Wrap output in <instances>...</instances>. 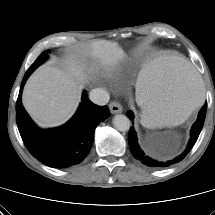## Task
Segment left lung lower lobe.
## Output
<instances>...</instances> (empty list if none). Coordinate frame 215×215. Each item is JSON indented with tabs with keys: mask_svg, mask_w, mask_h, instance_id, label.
I'll return each instance as SVG.
<instances>
[{
	"mask_svg": "<svg viewBox=\"0 0 215 215\" xmlns=\"http://www.w3.org/2000/svg\"><path fill=\"white\" fill-rule=\"evenodd\" d=\"M206 110H207V102L204 104V106L201 108L198 114V119L196 122L193 124L192 129H191V138L189 140V143L184 150L182 154L174 158L173 160L170 161H161L154 159L150 156H147L144 151L140 148L138 144V139L136 132L133 127H131L128 135V142H129V147L130 151L133 155V157L139 161H141L144 165L149 166V167H156V168H161V167H168L172 164L180 162L184 157L189 153V151L192 149L194 144L196 143L199 134L202 130L205 116H206ZM127 116L133 120L134 119V114L131 110L127 111Z\"/></svg>",
	"mask_w": 215,
	"mask_h": 215,
	"instance_id": "obj_1",
	"label": "left lung lower lobe"
}]
</instances>
